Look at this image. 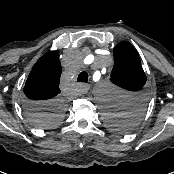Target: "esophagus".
Instances as JSON below:
<instances>
[{
	"label": "esophagus",
	"instance_id": "34e87169",
	"mask_svg": "<svg viewBox=\"0 0 174 174\" xmlns=\"http://www.w3.org/2000/svg\"><path fill=\"white\" fill-rule=\"evenodd\" d=\"M90 86L88 84H82V92L87 93L89 90Z\"/></svg>",
	"mask_w": 174,
	"mask_h": 174
}]
</instances>
